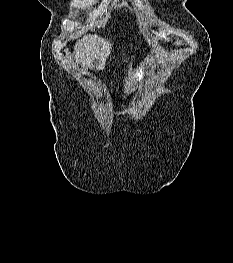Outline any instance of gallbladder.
<instances>
[{
    "instance_id": "1",
    "label": "gallbladder",
    "mask_w": 233,
    "mask_h": 263,
    "mask_svg": "<svg viewBox=\"0 0 233 263\" xmlns=\"http://www.w3.org/2000/svg\"><path fill=\"white\" fill-rule=\"evenodd\" d=\"M92 66H93V67L96 66L97 69H100V66H99V62H98V60L93 61Z\"/></svg>"
}]
</instances>
